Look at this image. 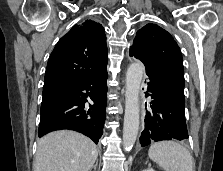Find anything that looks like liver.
I'll list each match as a JSON object with an SVG mask.
<instances>
[{"label":"liver","instance_id":"1","mask_svg":"<svg viewBox=\"0 0 223 171\" xmlns=\"http://www.w3.org/2000/svg\"><path fill=\"white\" fill-rule=\"evenodd\" d=\"M96 145L70 130L47 134L38 141L34 171H89L97 160Z\"/></svg>","mask_w":223,"mask_h":171}]
</instances>
